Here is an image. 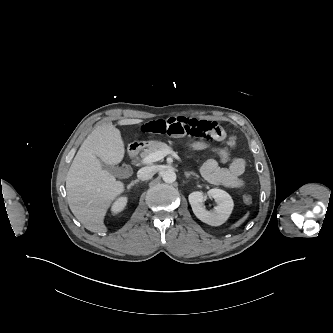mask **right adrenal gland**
Wrapping results in <instances>:
<instances>
[{"instance_id": "obj_1", "label": "right adrenal gland", "mask_w": 333, "mask_h": 333, "mask_svg": "<svg viewBox=\"0 0 333 333\" xmlns=\"http://www.w3.org/2000/svg\"><path fill=\"white\" fill-rule=\"evenodd\" d=\"M139 180H135L133 181L130 185H128V189H130L132 186H134L135 184H138Z\"/></svg>"}]
</instances>
